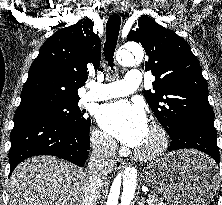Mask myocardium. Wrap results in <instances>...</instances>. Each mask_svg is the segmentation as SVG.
<instances>
[{"mask_svg": "<svg viewBox=\"0 0 222 205\" xmlns=\"http://www.w3.org/2000/svg\"><path fill=\"white\" fill-rule=\"evenodd\" d=\"M150 129L156 135L157 141L156 144L150 149L142 150L137 148L135 150V155L141 160L149 161L156 159L161 156L168 147L169 136L165 128L160 124L152 123Z\"/></svg>", "mask_w": 222, "mask_h": 205, "instance_id": "obj_1", "label": "myocardium"}]
</instances>
